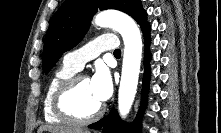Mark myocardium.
Instances as JSON below:
<instances>
[{
    "mask_svg": "<svg viewBox=\"0 0 221 133\" xmlns=\"http://www.w3.org/2000/svg\"><path fill=\"white\" fill-rule=\"evenodd\" d=\"M86 78L88 77L84 74H75L72 77L63 81L54 92L52 99L53 110L55 114L63 119L65 122L77 125H85L99 119L104 113L105 108L103 104L100 105L96 112L86 117L77 116L70 109L68 101L72 93L74 92L78 84Z\"/></svg>",
    "mask_w": 221,
    "mask_h": 133,
    "instance_id": "obj_1",
    "label": "myocardium"
}]
</instances>
